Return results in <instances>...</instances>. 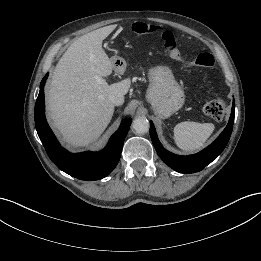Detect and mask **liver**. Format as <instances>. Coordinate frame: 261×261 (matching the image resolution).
<instances>
[{"label": "liver", "instance_id": "6515ba94", "mask_svg": "<svg viewBox=\"0 0 261 261\" xmlns=\"http://www.w3.org/2000/svg\"><path fill=\"white\" fill-rule=\"evenodd\" d=\"M108 28L89 32L74 41L59 60L47 94L49 117L73 147L95 142L110 123L114 104L109 96H124L130 79L109 85L104 77L113 63L102 48Z\"/></svg>", "mask_w": 261, "mask_h": 261}]
</instances>
